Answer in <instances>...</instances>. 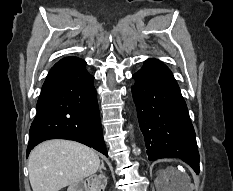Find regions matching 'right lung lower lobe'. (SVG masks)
<instances>
[{"label":"right lung lower lobe","mask_w":233,"mask_h":191,"mask_svg":"<svg viewBox=\"0 0 233 191\" xmlns=\"http://www.w3.org/2000/svg\"><path fill=\"white\" fill-rule=\"evenodd\" d=\"M85 65L80 58L66 57L50 70L30 127L26 157L37 144L49 139L75 140L108 156L94 77Z\"/></svg>","instance_id":"right-lung-lower-lobe-1"}]
</instances>
